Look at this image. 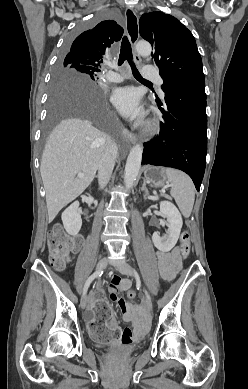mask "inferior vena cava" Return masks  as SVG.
<instances>
[{
    "label": "inferior vena cava",
    "instance_id": "602c4592",
    "mask_svg": "<svg viewBox=\"0 0 248 389\" xmlns=\"http://www.w3.org/2000/svg\"><path fill=\"white\" fill-rule=\"evenodd\" d=\"M117 146L115 143L110 142L102 156V159L98 166V183L100 189H103L109 182L115 161L117 158Z\"/></svg>",
    "mask_w": 248,
    "mask_h": 389
}]
</instances>
